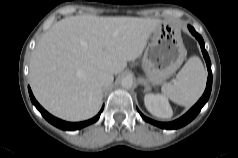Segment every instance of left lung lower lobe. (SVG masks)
Here are the masks:
<instances>
[{
    "label": "left lung lower lobe",
    "instance_id": "0a47b994",
    "mask_svg": "<svg viewBox=\"0 0 238 158\" xmlns=\"http://www.w3.org/2000/svg\"><path fill=\"white\" fill-rule=\"evenodd\" d=\"M190 32L196 37V39L199 41L200 46H201V50L203 53V56L205 58L206 64H207V68H208V79H207V85H206V90L203 94V96L200 98V100L182 117H180L179 119L173 121V122H169V123H162V122H157L154 121L152 119H149L147 117H145L140 111V115L142 116V118L153 124L156 125L160 128H164V129H177L180 127H183L184 125L188 124L189 122H191L196 116L197 114L200 112L201 108L204 106V104L207 102V100L209 99L210 93H211V88H212V72H211V62L208 56V53L205 50V45H204V41L202 39V37L194 30L193 27L188 26Z\"/></svg>",
    "mask_w": 238,
    "mask_h": 158
}]
</instances>
